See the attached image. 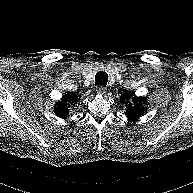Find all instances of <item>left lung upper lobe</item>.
I'll list each match as a JSON object with an SVG mask.
<instances>
[{
  "label": "left lung upper lobe",
  "mask_w": 193,
  "mask_h": 193,
  "mask_svg": "<svg viewBox=\"0 0 193 193\" xmlns=\"http://www.w3.org/2000/svg\"><path fill=\"white\" fill-rule=\"evenodd\" d=\"M120 99L127 102L125 114L131 119H137L146 112L143 104L146 98L137 97L133 92H125L121 95Z\"/></svg>",
  "instance_id": "left-lung-upper-lobe-1"
}]
</instances>
